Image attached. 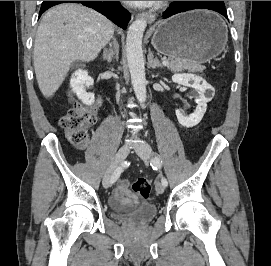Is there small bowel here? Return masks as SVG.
Instances as JSON below:
<instances>
[{
    "mask_svg": "<svg viewBox=\"0 0 271 266\" xmlns=\"http://www.w3.org/2000/svg\"><path fill=\"white\" fill-rule=\"evenodd\" d=\"M111 204L116 208L131 207L139 202L137 195L129 189V181L124 179L113 190Z\"/></svg>",
    "mask_w": 271,
    "mask_h": 266,
    "instance_id": "small-bowel-1",
    "label": "small bowel"
}]
</instances>
